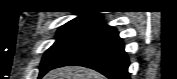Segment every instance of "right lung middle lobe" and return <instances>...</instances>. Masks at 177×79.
I'll use <instances>...</instances> for the list:
<instances>
[{"label": "right lung middle lobe", "instance_id": "right-lung-middle-lobe-1", "mask_svg": "<svg viewBox=\"0 0 177 79\" xmlns=\"http://www.w3.org/2000/svg\"><path fill=\"white\" fill-rule=\"evenodd\" d=\"M101 22L102 18H92L70 21L63 25L57 32V41L44 54L39 78L81 44Z\"/></svg>", "mask_w": 177, "mask_h": 79}]
</instances>
